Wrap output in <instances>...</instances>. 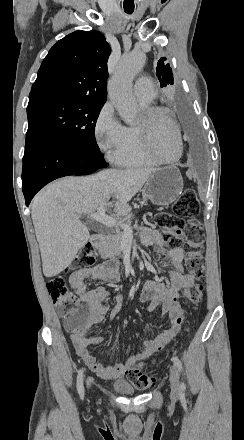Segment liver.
Listing matches in <instances>:
<instances>
[{"instance_id": "6515ba94", "label": "liver", "mask_w": 244, "mask_h": 440, "mask_svg": "<svg viewBox=\"0 0 244 440\" xmlns=\"http://www.w3.org/2000/svg\"><path fill=\"white\" fill-rule=\"evenodd\" d=\"M157 168L102 170L86 178H59L32 200L31 218L39 244L42 270L53 278L70 266L90 234L77 220L80 214H95L114 208L117 216H127L128 202L141 190ZM113 198L112 202H109Z\"/></svg>"}]
</instances>
